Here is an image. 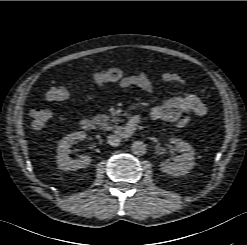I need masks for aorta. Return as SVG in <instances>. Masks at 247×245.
Returning <instances> with one entry per match:
<instances>
[{
	"label": "aorta",
	"mask_w": 247,
	"mask_h": 245,
	"mask_svg": "<svg viewBox=\"0 0 247 245\" xmlns=\"http://www.w3.org/2000/svg\"><path fill=\"white\" fill-rule=\"evenodd\" d=\"M131 150L135 155H142L146 152V145L142 141H135L131 145Z\"/></svg>",
	"instance_id": "762f6f07"
}]
</instances>
